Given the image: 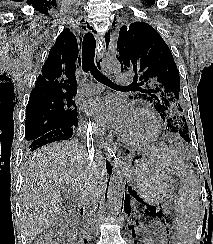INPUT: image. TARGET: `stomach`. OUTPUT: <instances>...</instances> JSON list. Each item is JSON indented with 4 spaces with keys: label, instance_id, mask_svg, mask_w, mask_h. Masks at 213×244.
<instances>
[{
    "label": "stomach",
    "instance_id": "1",
    "mask_svg": "<svg viewBox=\"0 0 213 244\" xmlns=\"http://www.w3.org/2000/svg\"><path fill=\"white\" fill-rule=\"evenodd\" d=\"M163 160L164 155L157 149H136L129 156V180L139 196L151 205L168 200L177 188Z\"/></svg>",
    "mask_w": 213,
    "mask_h": 244
}]
</instances>
